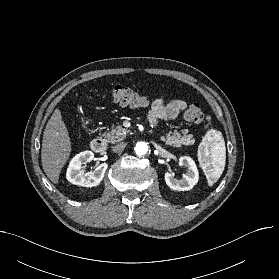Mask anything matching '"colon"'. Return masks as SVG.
<instances>
[{"instance_id": "5ec220e1", "label": "colon", "mask_w": 279, "mask_h": 279, "mask_svg": "<svg viewBox=\"0 0 279 279\" xmlns=\"http://www.w3.org/2000/svg\"><path fill=\"white\" fill-rule=\"evenodd\" d=\"M111 96L115 102L125 106L145 107L149 103L148 97L124 86H115L111 90ZM184 119L192 123L202 122L204 114L200 105L197 103L191 104L184 113Z\"/></svg>"}]
</instances>
